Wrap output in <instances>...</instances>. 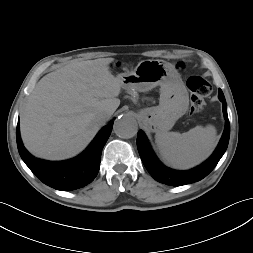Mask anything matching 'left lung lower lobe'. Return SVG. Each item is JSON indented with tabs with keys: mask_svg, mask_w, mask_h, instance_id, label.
Segmentation results:
<instances>
[{
	"mask_svg": "<svg viewBox=\"0 0 253 253\" xmlns=\"http://www.w3.org/2000/svg\"><path fill=\"white\" fill-rule=\"evenodd\" d=\"M218 97L223 105L226 119L225 129L221 140L212 156L203 164L188 171H176L164 166L155 156L143 131H138L137 148L142 162L152 177L160 183L181 186L197 182L206 177L217 165L225 153L230 136V123L227 115V105L223 92L219 89Z\"/></svg>",
	"mask_w": 253,
	"mask_h": 253,
	"instance_id": "0a47b994",
	"label": "left lung lower lobe"
}]
</instances>
